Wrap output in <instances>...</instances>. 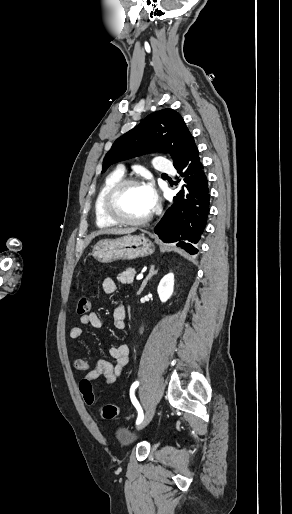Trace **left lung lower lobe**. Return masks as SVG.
<instances>
[{
	"instance_id": "1",
	"label": "left lung lower lobe",
	"mask_w": 292,
	"mask_h": 514,
	"mask_svg": "<svg viewBox=\"0 0 292 514\" xmlns=\"http://www.w3.org/2000/svg\"><path fill=\"white\" fill-rule=\"evenodd\" d=\"M175 168L184 185L155 226L154 232L163 242H178V247L193 255L198 252L197 244L206 228L210 211L208 179L194 141L183 161Z\"/></svg>"
}]
</instances>
